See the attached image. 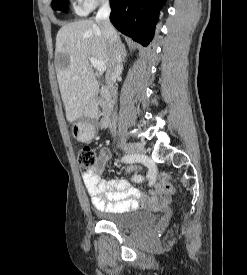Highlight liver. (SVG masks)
Segmentation results:
<instances>
[{
  "label": "liver",
  "mask_w": 247,
  "mask_h": 275,
  "mask_svg": "<svg viewBox=\"0 0 247 275\" xmlns=\"http://www.w3.org/2000/svg\"><path fill=\"white\" fill-rule=\"evenodd\" d=\"M110 64L108 44L92 20L63 25L56 36L55 68L66 118L72 123L98 94L99 85L89 58ZM63 61V63H62Z\"/></svg>",
  "instance_id": "6515ba94"
}]
</instances>
